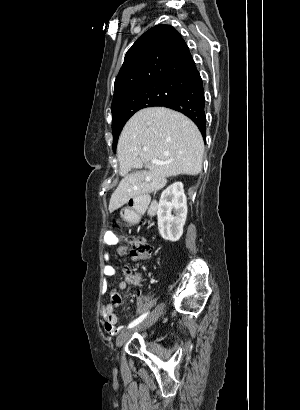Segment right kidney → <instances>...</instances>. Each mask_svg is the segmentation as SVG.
I'll list each match as a JSON object with an SVG mask.
<instances>
[{
    "label": "right kidney",
    "mask_w": 300,
    "mask_h": 410,
    "mask_svg": "<svg viewBox=\"0 0 300 410\" xmlns=\"http://www.w3.org/2000/svg\"><path fill=\"white\" fill-rule=\"evenodd\" d=\"M172 210L175 215H172ZM158 229L163 239L176 242L183 234L187 217V198L182 182L166 188L157 206Z\"/></svg>",
    "instance_id": "obj_1"
}]
</instances>
